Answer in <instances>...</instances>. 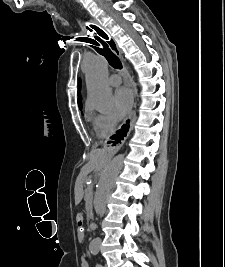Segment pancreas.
<instances>
[{
    "mask_svg": "<svg viewBox=\"0 0 225 267\" xmlns=\"http://www.w3.org/2000/svg\"><path fill=\"white\" fill-rule=\"evenodd\" d=\"M86 204L90 205L92 202V192H91V188H87L85 191V197H84Z\"/></svg>",
    "mask_w": 225,
    "mask_h": 267,
    "instance_id": "1",
    "label": "pancreas"
}]
</instances>
